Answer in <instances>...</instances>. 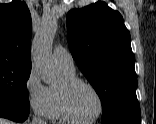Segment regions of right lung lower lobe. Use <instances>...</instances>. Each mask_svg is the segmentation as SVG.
Wrapping results in <instances>:
<instances>
[{
  "label": "right lung lower lobe",
  "mask_w": 156,
  "mask_h": 124,
  "mask_svg": "<svg viewBox=\"0 0 156 124\" xmlns=\"http://www.w3.org/2000/svg\"><path fill=\"white\" fill-rule=\"evenodd\" d=\"M29 105L0 98V117L23 122L29 115Z\"/></svg>",
  "instance_id": "1"
}]
</instances>
